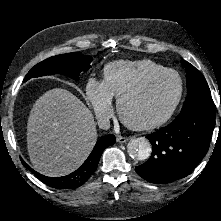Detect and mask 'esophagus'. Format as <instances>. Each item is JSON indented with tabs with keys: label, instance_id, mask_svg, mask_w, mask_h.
I'll use <instances>...</instances> for the list:
<instances>
[{
	"label": "esophagus",
	"instance_id": "obj_1",
	"mask_svg": "<svg viewBox=\"0 0 221 221\" xmlns=\"http://www.w3.org/2000/svg\"><path fill=\"white\" fill-rule=\"evenodd\" d=\"M130 138L118 136L116 138L118 143H126Z\"/></svg>",
	"mask_w": 221,
	"mask_h": 221
}]
</instances>
